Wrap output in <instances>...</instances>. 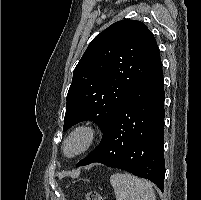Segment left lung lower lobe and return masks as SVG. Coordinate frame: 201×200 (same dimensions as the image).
I'll return each mask as SVG.
<instances>
[{
  "mask_svg": "<svg viewBox=\"0 0 201 200\" xmlns=\"http://www.w3.org/2000/svg\"><path fill=\"white\" fill-rule=\"evenodd\" d=\"M164 80L161 59L116 107L101 143L76 166L102 163L164 188Z\"/></svg>",
  "mask_w": 201,
  "mask_h": 200,
  "instance_id": "obj_1",
  "label": "left lung lower lobe"
}]
</instances>
